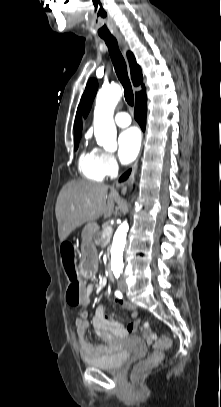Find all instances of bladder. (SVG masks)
Returning <instances> with one entry per match:
<instances>
[{"mask_svg":"<svg viewBox=\"0 0 221 407\" xmlns=\"http://www.w3.org/2000/svg\"><path fill=\"white\" fill-rule=\"evenodd\" d=\"M132 341L135 344V351L141 354L146 352V345L142 339L134 337L132 338ZM129 357V352L113 350L103 357L87 359L85 360V364L104 371H117L129 359Z\"/></svg>","mask_w":221,"mask_h":407,"instance_id":"1","label":"bladder"}]
</instances>
